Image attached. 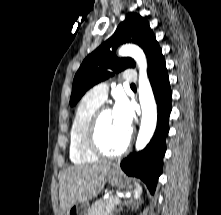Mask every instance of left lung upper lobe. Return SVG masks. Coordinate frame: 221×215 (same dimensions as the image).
I'll list each match as a JSON object with an SVG mask.
<instances>
[{"label": "left lung upper lobe", "instance_id": "5c2ea615", "mask_svg": "<svg viewBox=\"0 0 221 215\" xmlns=\"http://www.w3.org/2000/svg\"><path fill=\"white\" fill-rule=\"evenodd\" d=\"M124 43H135L145 52L148 65L161 50L149 22L137 13L129 14L115 33L89 54L77 71L72 87L70 105L74 106L87 90L126 68L135 67L131 58H117L116 48Z\"/></svg>", "mask_w": 221, "mask_h": 215}]
</instances>
